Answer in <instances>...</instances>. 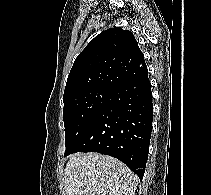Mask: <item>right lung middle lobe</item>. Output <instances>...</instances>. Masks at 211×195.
<instances>
[{
    "mask_svg": "<svg viewBox=\"0 0 211 195\" xmlns=\"http://www.w3.org/2000/svg\"><path fill=\"white\" fill-rule=\"evenodd\" d=\"M111 89L94 88L64 99L65 146L69 151L104 109ZM65 151V152H66Z\"/></svg>",
    "mask_w": 211,
    "mask_h": 195,
    "instance_id": "obj_1",
    "label": "right lung middle lobe"
}]
</instances>
